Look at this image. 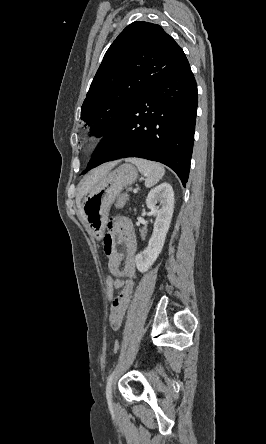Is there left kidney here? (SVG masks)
<instances>
[{
  "mask_svg": "<svg viewBox=\"0 0 266 444\" xmlns=\"http://www.w3.org/2000/svg\"><path fill=\"white\" fill-rule=\"evenodd\" d=\"M159 203V206H157ZM148 208L156 215L154 229L147 248L136 255L137 269L144 273L156 261L164 246L174 210V192L172 186L164 182L153 188L146 198Z\"/></svg>",
  "mask_w": 266,
  "mask_h": 444,
  "instance_id": "1",
  "label": "left kidney"
}]
</instances>
